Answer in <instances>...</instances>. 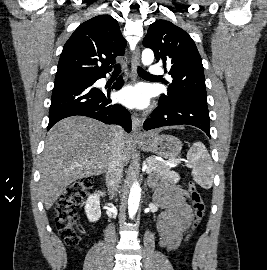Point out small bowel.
I'll return each instance as SVG.
<instances>
[{"label": "small bowel", "mask_w": 267, "mask_h": 270, "mask_svg": "<svg viewBox=\"0 0 267 270\" xmlns=\"http://www.w3.org/2000/svg\"><path fill=\"white\" fill-rule=\"evenodd\" d=\"M152 186L155 204L165 210L158 221L159 245L166 251H173L179 246L193 219L189 195L177 184L153 180Z\"/></svg>", "instance_id": "c3829d8e"}]
</instances>
